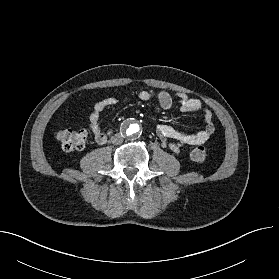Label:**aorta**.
Here are the masks:
<instances>
[{
  "label": "aorta",
  "instance_id": "aorta-1",
  "mask_svg": "<svg viewBox=\"0 0 279 279\" xmlns=\"http://www.w3.org/2000/svg\"><path fill=\"white\" fill-rule=\"evenodd\" d=\"M124 132L127 136L135 137L141 131V125L135 120H128L123 126Z\"/></svg>",
  "mask_w": 279,
  "mask_h": 279
}]
</instances>
